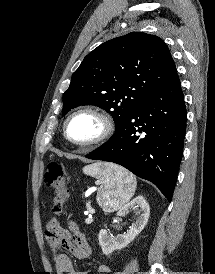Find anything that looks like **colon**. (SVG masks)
<instances>
[{
    "instance_id": "colon-1",
    "label": "colon",
    "mask_w": 215,
    "mask_h": 274,
    "mask_svg": "<svg viewBox=\"0 0 215 274\" xmlns=\"http://www.w3.org/2000/svg\"><path fill=\"white\" fill-rule=\"evenodd\" d=\"M44 183L55 192L53 210L55 213H61L65 208L68 197V191L65 186L64 172L62 165L57 161H49L46 165Z\"/></svg>"
}]
</instances>
